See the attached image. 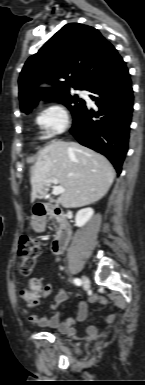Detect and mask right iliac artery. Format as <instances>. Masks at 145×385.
<instances>
[{
  "instance_id": "right-iliac-artery-1",
  "label": "right iliac artery",
  "mask_w": 145,
  "mask_h": 385,
  "mask_svg": "<svg viewBox=\"0 0 145 385\" xmlns=\"http://www.w3.org/2000/svg\"><path fill=\"white\" fill-rule=\"evenodd\" d=\"M74 284L77 285V286H80L82 284L81 280L79 278H75L73 280Z\"/></svg>"
}]
</instances>
